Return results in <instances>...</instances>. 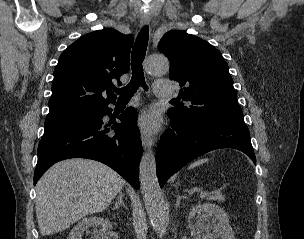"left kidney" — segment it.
I'll return each instance as SVG.
<instances>
[{
  "mask_svg": "<svg viewBox=\"0 0 304 239\" xmlns=\"http://www.w3.org/2000/svg\"><path fill=\"white\" fill-rule=\"evenodd\" d=\"M195 216L196 222L192 230L201 234L199 239H212L209 231L213 228L217 230V236L221 239H235L229 217L219 206L212 203L199 204L192 207L188 219Z\"/></svg>",
  "mask_w": 304,
  "mask_h": 239,
  "instance_id": "1",
  "label": "left kidney"
}]
</instances>
